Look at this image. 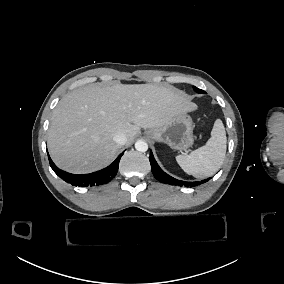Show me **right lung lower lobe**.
I'll return each mask as SVG.
<instances>
[{
    "label": "right lung lower lobe",
    "instance_id": "right-lung-lower-lobe-1",
    "mask_svg": "<svg viewBox=\"0 0 284 284\" xmlns=\"http://www.w3.org/2000/svg\"><path fill=\"white\" fill-rule=\"evenodd\" d=\"M124 153V152H123ZM120 154L116 160L110 164L108 167L99 170L97 172H93L90 174H83V175H77V174H71L67 173L58 167L53 163L51 158H49L50 166L53 169V171L64 181L67 183H70L74 186H81V187H92V186H99L106 184L110 182L117 174L118 171V166H119V161L121 156L123 155Z\"/></svg>",
    "mask_w": 284,
    "mask_h": 284
}]
</instances>
